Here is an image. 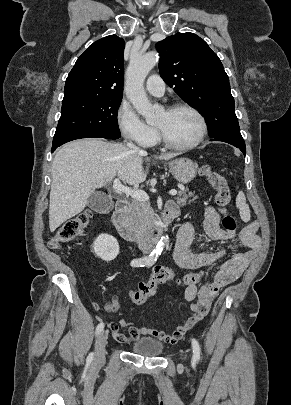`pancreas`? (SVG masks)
<instances>
[{
    "label": "pancreas",
    "instance_id": "pancreas-1",
    "mask_svg": "<svg viewBox=\"0 0 291 405\" xmlns=\"http://www.w3.org/2000/svg\"><path fill=\"white\" fill-rule=\"evenodd\" d=\"M190 197H194V194L189 192V190L186 188L179 191L178 196L175 197V200L179 206L184 207L186 204L191 203L198 198L195 196L192 200H189ZM154 218L155 213L149 202L138 200H134L132 202V210L129 215V220L133 229L138 234L145 233L147 229L152 226V220Z\"/></svg>",
    "mask_w": 291,
    "mask_h": 405
}]
</instances>
